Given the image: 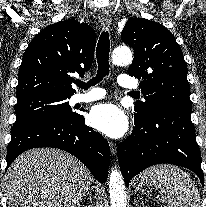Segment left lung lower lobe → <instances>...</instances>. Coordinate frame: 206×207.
I'll return each instance as SVG.
<instances>
[{"label": "left lung lower lobe", "instance_id": "left-lung-lower-lobe-1", "mask_svg": "<svg viewBox=\"0 0 206 207\" xmlns=\"http://www.w3.org/2000/svg\"><path fill=\"white\" fill-rule=\"evenodd\" d=\"M117 153L126 185L147 167L168 163L192 170L204 186L191 110L154 106L145 121L134 119L132 135L119 144Z\"/></svg>", "mask_w": 206, "mask_h": 207}]
</instances>
